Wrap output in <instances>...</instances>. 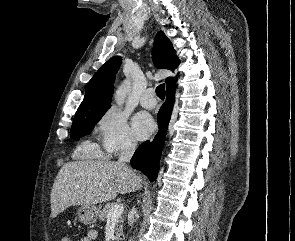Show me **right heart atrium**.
Returning <instances> with one entry per match:
<instances>
[{
  "label": "right heart atrium",
  "mask_w": 295,
  "mask_h": 241,
  "mask_svg": "<svg viewBox=\"0 0 295 241\" xmlns=\"http://www.w3.org/2000/svg\"><path fill=\"white\" fill-rule=\"evenodd\" d=\"M93 132L107 156L118 154L136 146L126 116L115 107L105 110L97 118Z\"/></svg>",
  "instance_id": "1"
}]
</instances>
